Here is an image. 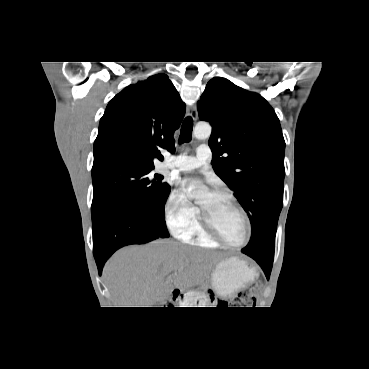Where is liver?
<instances>
[{"mask_svg": "<svg viewBox=\"0 0 369 369\" xmlns=\"http://www.w3.org/2000/svg\"><path fill=\"white\" fill-rule=\"evenodd\" d=\"M218 260L212 252L157 240L120 249L103 274L116 307H154L163 304L174 288L202 282Z\"/></svg>", "mask_w": 369, "mask_h": 369, "instance_id": "1", "label": "liver"}]
</instances>
